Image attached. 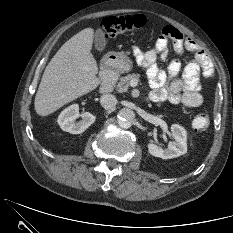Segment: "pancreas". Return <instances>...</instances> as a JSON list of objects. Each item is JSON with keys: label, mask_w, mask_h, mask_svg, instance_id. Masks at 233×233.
<instances>
[{"label": "pancreas", "mask_w": 233, "mask_h": 233, "mask_svg": "<svg viewBox=\"0 0 233 233\" xmlns=\"http://www.w3.org/2000/svg\"><path fill=\"white\" fill-rule=\"evenodd\" d=\"M139 74H128L124 77H121L119 82L116 85V90L120 93L127 92L130 86V80L132 79H139Z\"/></svg>", "instance_id": "pancreas-1"}]
</instances>
